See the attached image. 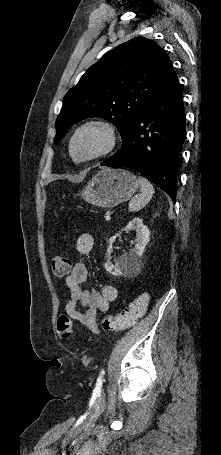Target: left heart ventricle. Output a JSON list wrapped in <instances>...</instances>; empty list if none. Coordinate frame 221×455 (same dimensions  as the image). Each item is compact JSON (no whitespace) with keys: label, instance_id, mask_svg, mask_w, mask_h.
Segmentation results:
<instances>
[{"label":"left heart ventricle","instance_id":"left-heart-ventricle-1","mask_svg":"<svg viewBox=\"0 0 221 455\" xmlns=\"http://www.w3.org/2000/svg\"><path fill=\"white\" fill-rule=\"evenodd\" d=\"M104 135L97 130L89 129L83 132L75 143L76 156L83 158L98 152L104 145Z\"/></svg>","mask_w":221,"mask_h":455}]
</instances>
